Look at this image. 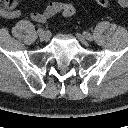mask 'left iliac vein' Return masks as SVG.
Instances as JSON below:
<instances>
[{"label": "left iliac vein", "mask_w": 128, "mask_h": 128, "mask_svg": "<svg viewBox=\"0 0 128 128\" xmlns=\"http://www.w3.org/2000/svg\"><path fill=\"white\" fill-rule=\"evenodd\" d=\"M76 36L83 45H88V39L84 35L77 33Z\"/></svg>", "instance_id": "4c4485c4"}]
</instances>
